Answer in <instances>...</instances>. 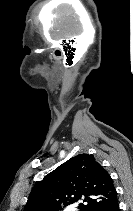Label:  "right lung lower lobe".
Wrapping results in <instances>:
<instances>
[{
  "label": "right lung lower lobe",
  "instance_id": "right-lung-lower-lobe-1",
  "mask_svg": "<svg viewBox=\"0 0 133 211\" xmlns=\"http://www.w3.org/2000/svg\"><path fill=\"white\" fill-rule=\"evenodd\" d=\"M105 211H119V205L118 202L106 209Z\"/></svg>",
  "mask_w": 133,
  "mask_h": 211
}]
</instances>
